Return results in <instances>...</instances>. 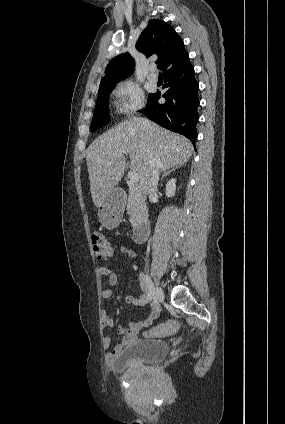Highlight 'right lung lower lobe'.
Masks as SVG:
<instances>
[{"label": "right lung lower lobe", "instance_id": "obj_1", "mask_svg": "<svg viewBox=\"0 0 285 424\" xmlns=\"http://www.w3.org/2000/svg\"><path fill=\"white\" fill-rule=\"evenodd\" d=\"M164 79L163 88L168 90L163 95L160 91L152 94L141 112L160 126L184 135L195 144L196 123L199 117L198 82L189 57L178 66L167 70ZM160 97L165 98L163 104L158 103Z\"/></svg>", "mask_w": 285, "mask_h": 424}]
</instances>
